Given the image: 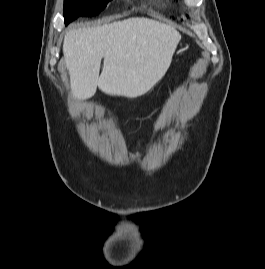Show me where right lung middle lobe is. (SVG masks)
I'll use <instances>...</instances> for the list:
<instances>
[{"label": "right lung middle lobe", "mask_w": 265, "mask_h": 269, "mask_svg": "<svg viewBox=\"0 0 265 269\" xmlns=\"http://www.w3.org/2000/svg\"><path fill=\"white\" fill-rule=\"evenodd\" d=\"M111 0H64L65 24L78 16H92L103 10Z\"/></svg>", "instance_id": "right-lung-middle-lobe-1"}]
</instances>
